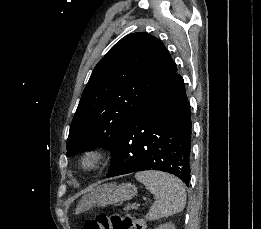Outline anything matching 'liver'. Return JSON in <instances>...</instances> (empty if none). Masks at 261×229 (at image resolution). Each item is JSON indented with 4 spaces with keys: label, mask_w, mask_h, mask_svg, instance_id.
Instances as JSON below:
<instances>
[{
    "label": "liver",
    "mask_w": 261,
    "mask_h": 229,
    "mask_svg": "<svg viewBox=\"0 0 261 229\" xmlns=\"http://www.w3.org/2000/svg\"><path fill=\"white\" fill-rule=\"evenodd\" d=\"M84 201H86V197H83Z\"/></svg>",
    "instance_id": "liver-1"
}]
</instances>
